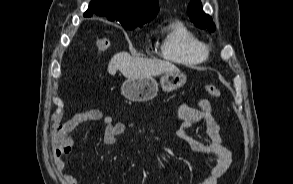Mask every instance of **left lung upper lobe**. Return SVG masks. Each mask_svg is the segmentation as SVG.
<instances>
[{
    "instance_id": "obj_1",
    "label": "left lung upper lobe",
    "mask_w": 293,
    "mask_h": 184,
    "mask_svg": "<svg viewBox=\"0 0 293 184\" xmlns=\"http://www.w3.org/2000/svg\"><path fill=\"white\" fill-rule=\"evenodd\" d=\"M187 13L197 27L207 28L210 33L215 31V24L212 22L211 16L203 12L200 0H191Z\"/></svg>"
}]
</instances>
